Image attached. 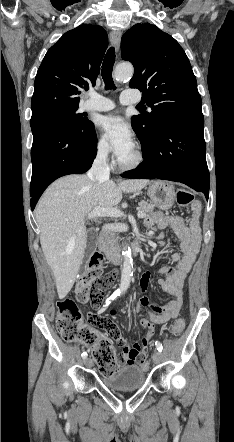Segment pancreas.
<instances>
[{
    "label": "pancreas",
    "instance_id": "obj_1",
    "mask_svg": "<svg viewBox=\"0 0 234 442\" xmlns=\"http://www.w3.org/2000/svg\"><path fill=\"white\" fill-rule=\"evenodd\" d=\"M138 205H139V207H138L139 210H141L145 214L152 213L154 211V208H155V204L148 203V202H145V201L139 202ZM110 238H111V240L109 242V245L105 246V248H104L105 251L112 250L118 244V239H119L118 236H116L114 233H111L110 234Z\"/></svg>",
    "mask_w": 234,
    "mask_h": 442
}]
</instances>
